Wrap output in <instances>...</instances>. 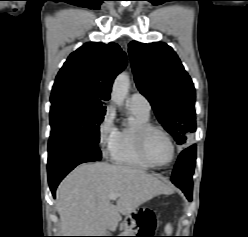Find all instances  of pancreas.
<instances>
[{"instance_id": "1", "label": "pancreas", "mask_w": 248, "mask_h": 237, "mask_svg": "<svg viewBox=\"0 0 248 237\" xmlns=\"http://www.w3.org/2000/svg\"><path fill=\"white\" fill-rule=\"evenodd\" d=\"M131 232H133V231L131 230V227H127L124 233H131Z\"/></svg>"}]
</instances>
